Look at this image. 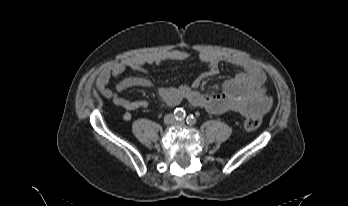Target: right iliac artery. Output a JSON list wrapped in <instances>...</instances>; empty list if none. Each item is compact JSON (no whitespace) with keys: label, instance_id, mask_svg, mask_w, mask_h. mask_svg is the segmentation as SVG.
<instances>
[{"label":"right iliac artery","instance_id":"82829eb1","mask_svg":"<svg viewBox=\"0 0 348 206\" xmlns=\"http://www.w3.org/2000/svg\"><path fill=\"white\" fill-rule=\"evenodd\" d=\"M174 116L176 120L182 121L186 117V113L182 108H176V110L174 111Z\"/></svg>","mask_w":348,"mask_h":206}]
</instances>
